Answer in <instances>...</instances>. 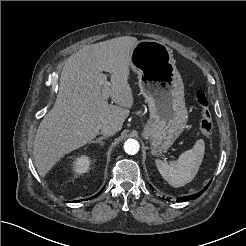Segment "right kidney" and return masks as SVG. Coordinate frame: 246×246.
<instances>
[{
  "label": "right kidney",
  "instance_id": "right-kidney-1",
  "mask_svg": "<svg viewBox=\"0 0 246 246\" xmlns=\"http://www.w3.org/2000/svg\"><path fill=\"white\" fill-rule=\"evenodd\" d=\"M91 159L87 155H80L74 158L72 162V169L77 174L86 173L90 167Z\"/></svg>",
  "mask_w": 246,
  "mask_h": 246
}]
</instances>
